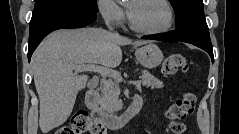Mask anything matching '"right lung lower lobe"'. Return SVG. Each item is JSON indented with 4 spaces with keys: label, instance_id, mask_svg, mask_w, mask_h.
Segmentation results:
<instances>
[{
    "label": "right lung lower lobe",
    "instance_id": "right-lung-lower-lobe-1",
    "mask_svg": "<svg viewBox=\"0 0 239 134\" xmlns=\"http://www.w3.org/2000/svg\"><path fill=\"white\" fill-rule=\"evenodd\" d=\"M96 18L97 15L94 12H88L77 8H60L30 23L29 61L36 47L50 32L62 28L71 29L85 27L94 22Z\"/></svg>",
    "mask_w": 239,
    "mask_h": 134
}]
</instances>
